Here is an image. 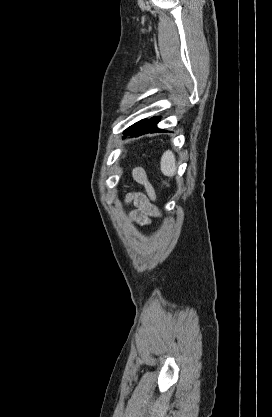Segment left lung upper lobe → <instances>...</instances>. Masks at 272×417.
Masks as SVG:
<instances>
[{
    "label": "left lung upper lobe",
    "mask_w": 272,
    "mask_h": 417,
    "mask_svg": "<svg viewBox=\"0 0 272 417\" xmlns=\"http://www.w3.org/2000/svg\"><path fill=\"white\" fill-rule=\"evenodd\" d=\"M147 121H148L147 119H144V120H141V121H139V122L135 123L134 125L130 126L128 129H126V130L124 131V134L126 135V134H128V133H130V132H132V131H135V130L139 129V128H140V127H142V126H143V125H144Z\"/></svg>",
    "instance_id": "1"
}]
</instances>
